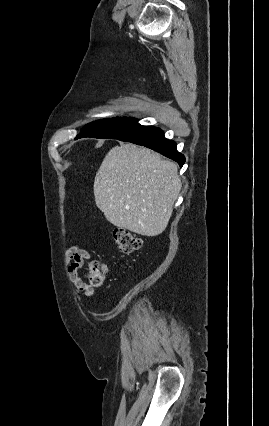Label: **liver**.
I'll return each mask as SVG.
<instances>
[{
  "label": "liver",
  "mask_w": 269,
  "mask_h": 426,
  "mask_svg": "<svg viewBox=\"0 0 269 426\" xmlns=\"http://www.w3.org/2000/svg\"><path fill=\"white\" fill-rule=\"evenodd\" d=\"M181 187L174 162L121 144L107 153L96 173L95 203L114 226L153 237L167 227Z\"/></svg>",
  "instance_id": "1"
}]
</instances>
